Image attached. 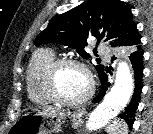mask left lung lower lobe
Listing matches in <instances>:
<instances>
[{"label":"left lung lower lobe","mask_w":153,"mask_h":134,"mask_svg":"<svg viewBox=\"0 0 153 134\" xmlns=\"http://www.w3.org/2000/svg\"><path fill=\"white\" fill-rule=\"evenodd\" d=\"M130 60L132 63V67L134 70V78H135V88L134 93L132 95V99L127 106V108L124 110L123 113H121L119 116L120 118L124 119L130 126V128L133 125V119L135 117V113L138 107V103L140 101V95L142 92V78H143V51L140 46V42L135 47L134 51L130 55ZM107 69L102 72V74L99 76L101 81V90L99 94L94 98L93 102L98 103L102 100V98L105 95V92L107 88L110 86V83L107 82Z\"/></svg>","instance_id":"0a47b994"}]
</instances>
